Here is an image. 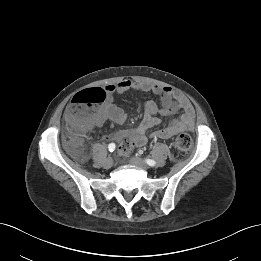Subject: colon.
I'll list each match as a JSON object with an SVG mask.
<instances>
[{"instance_id": "obj_1", "label": "colon", "mask_w": 261, "mask_h": 261, "mask_svg": "<svg viewBox=\"0 0 261 261\" xmlns=\"http://www.w3.org/2000/svg\"><path fill=\"white\" fill-rule=\"evenodd\" d=\"M106 93L101 88H92L78 93L69 103L66 110L67 122L70 133V145L73 147L77 144L78 138L83 134L90 125L93 112L104 103ZM192 145V139L188 134H180L175 139V147L179 152H187ZM130 140H125L120 152L127 155L132 150Z\"/></svg>"}]
</instances>
